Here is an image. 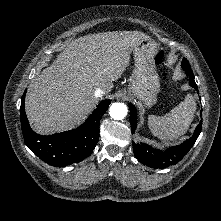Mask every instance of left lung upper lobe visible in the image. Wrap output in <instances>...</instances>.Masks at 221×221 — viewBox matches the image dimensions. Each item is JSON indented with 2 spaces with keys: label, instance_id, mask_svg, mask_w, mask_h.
I'll return each instance as SVG.
<instances>
[{
  "label": "left lung upper lobe",
  "instance_id": "left-lung-upper-lobe-1",
  "mask_svg": "<svg viewBox=\"0 0 221 221\" xmlns=\"http://www.w3.org/2000/svg\"><path fill=\"white\" fill-rule=\"evenodd\" d=\"M182 68L183 69H191L190 65H189V62L187 61L186 58H184L183 61H182Z\"/></svg>",
  "mask_w": 221,
  "mask_h": 221
}]
</instances>
